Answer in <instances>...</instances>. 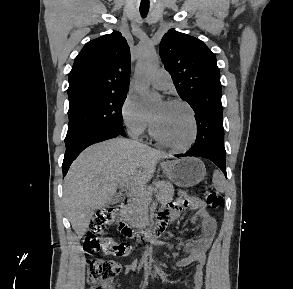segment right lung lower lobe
<instances>
[{
    "instance_id": "1",
    "label": "right lung lower lobe",
    "mask_w": 293,
    "mask_h": 289,
    "mask_svg": "<svg viewBox=\"0 0 293 289\" xmlns=\"http://www.w3.org/2000/svg\"><path fill=\"white\" fill-rule=\"evenodd\" d=\"M117 136H126L122 126H106L88 131L65 142L66 152L62 164L63 176L66 175L73 160L88 146Z\"/></svg>"
}]
</instances>
